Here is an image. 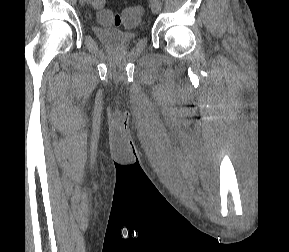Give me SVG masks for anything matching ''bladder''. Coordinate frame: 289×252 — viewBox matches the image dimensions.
<instances>
[{
    "label": "bladder",
    "instance_id": "bladder-1",
    "mask_svg": "<svg viewBox=\"0 0 289 252\" xmlns=\"http://www.w3.org/2000/svg\"><path fill=\"white\" fill-rule=\"evenodd\" d=\"M93 32L103 44L110 47H123L132 44L138 38L137 31H121L115 28L94 26Z\"/></svg>",
    "mask_w": 289,
    "mask_h": 252
}]
</instances>
